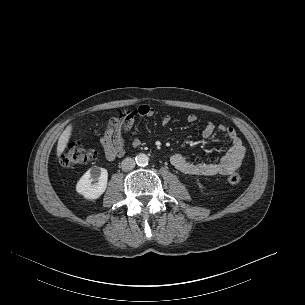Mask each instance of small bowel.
Masks as SVG:
<instances>
[{"label":"small bowel","mask_w":305,"mask_h":305,"mask_svg":"<svg viewBox=\"0 0 305 305\" xmlns=\"http://www.w3.org/2000/svg\"><path fill=\"white\" fill-rule=\"evenodd\" d=\"M154 114L155 111L148 105H140L117 113L113 117V121L117 123L116 129L107 128L100 137L105 157L108 160L122 157L125 154V135L132 128L135 119L137 117L151 118ZM187 121L195 123L198 117L190 114ZM170 122L171 116L167 114L162 117L161 125L166 128ZM216 130L224 133L231 141V147L221 160L213 163H197L180 153H174L170 156L171 164L183 174L197 176L228 175L240 169L246 158V148L236 130L222 124L216 125L212 121H205L201 136L205 139L210 138ZM134 145H139L137 139L134 140Z\"/></svg>","instance_id":"c3829d8e"}]
</instances>
